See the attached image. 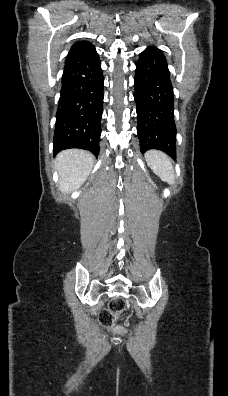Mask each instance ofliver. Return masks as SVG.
<instances>
[{
  "label": "liver",
  "mask_w": 228,
  "mask_h": 396,
  "mask_svg": "<svg viewBox=\"0 0 228 396\" xmlns=\"http://www.w3.org/2000/svg\"><path fill=\"white\" fill-rule=\"evenodd\" d=\"M94 156L87 151L69 149L58 154L55 168L59 174V189L71 193L88 178L94 163Z\"/></svg>",
  "instance_id": "1"
}]
</instances>
